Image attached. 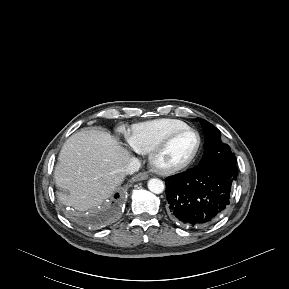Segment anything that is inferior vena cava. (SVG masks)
Returning <instances> with one entry per match:
<instances>
[{"instance_id":"obj_1","label":"inferior vena cava","mask_w":289,"mask_h":289,"mask_svg":"<svg viewBox=\"0 0 289 289\" xmlns=\"http://www.w3.org/2000/svg\"><path fill=\"white\" fill-rule=\"evenodd\" d=\"M140 167H141V163H140V161L138 159L130 158V160L124 166L122 171L125 174H133V173L137 172L140 169Z\"/></svg>"}]
</instances>
